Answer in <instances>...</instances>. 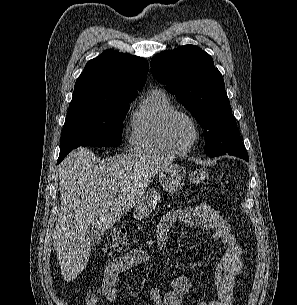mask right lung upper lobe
Masks as SVG:
<instances>
[{"instance_id":"1","label":"right lung upper lobe","mask_w":297,"mask_h":305,"mask_svg":"<svg viewBox=\"0 0 297 305\" xmlns=\"http://www.w3.org/2000/svg\"><path fill=\"white\" fill-rule=\"evenodd\" d=\"M148 70L144 58L105 50L87 62L76 80L69 106L137 96L146 83Z\"/></svg>"}]
</instances>
